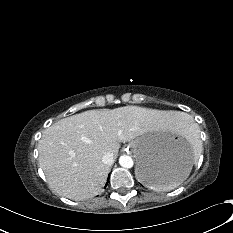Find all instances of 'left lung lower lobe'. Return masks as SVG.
Instances as JSON below:
<instances>
[{
    "instance_id": "obj_1",
    "label": "left lung lower lobe",
    "mask_w": 233,
    "mask_h": 233,
    "mask_svg": "<svg viewBox=\"0 0 233 233\" xmlns=\"http://www.w3.org/2000/svg\"><path fill=\"white\" fill-rule=\"evenodd\" d=\"M178 171L165 166L146 165L141 169L140 179L143 184H156L165 186L174 180Z\"/></svg>"
}]
</instances>
